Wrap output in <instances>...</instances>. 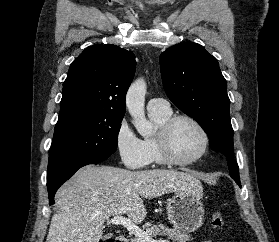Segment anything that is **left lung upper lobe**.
I'll list each match as a JSON object with an SVG mask.
<instances>
[{
    "label": "left lung upper lobe",
    "instance_id": "obj_1",
    "mask_svg": "<svg viewBox=\"0 0 279 242\" xmlns=\"http://www.w3.org/2000/svg\"><path fill=\"white\" fill-rule=\"evenodd\" d=\"M159 60L167 96L201 125L209 137L210 147L229 159L230 176L241 185L233 154L230 100L217 59L203 46L185 42L162 52Z\"/></svg>",
    "mask_w": 279,
    "mask_h": 242
}]
</instances>
